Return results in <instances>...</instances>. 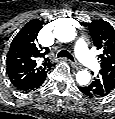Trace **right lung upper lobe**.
I'll use <instances>...</instances> for the list:
<instances>
[{"instance_id": "obj_1", "label": "right lung upper lobe", "mask_w": 115, "mask_h": 119, "mask_svg": "<svg viewBox=\"0 0 115 119\" xmlns=\"http://www.w3.org/2000/svg\"><path fill=\"white\" fill-rule=\"evenodd\" d=\"M44 22L33 19L15 36L7 54V73L10 81L17 88L31 84L51 69L52 64L45 55L48 48L38 43V33Z\"/></svg>"}]
</instances>
